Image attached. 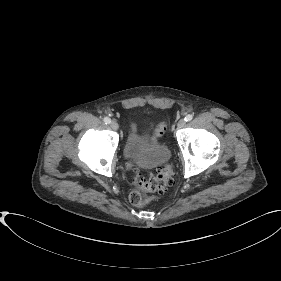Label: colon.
Segmentation results:
<instances>
[{"label":"colon","instance_id":"colon-1","mask_svg":"<svg viewBox=\"0 0 281 281\" xmlns=\"http://www.w3.org/2000/svg\"><path fill=\"white\" fill-rule=\"evenodd\" d=\"M166 128L165 122L159 124L151 138L159 140L165 133ZM127 170L133 173L131 180L135 185V188L130 191L129 199L137 207L145 206L149 202L145 193H162L173 183V171L170 166L159 168L148 177L140 176L136 171L135 164L130 162L127 163Z\"/></svg>","mask_w":281,"mask_h":281}]
</instances>
